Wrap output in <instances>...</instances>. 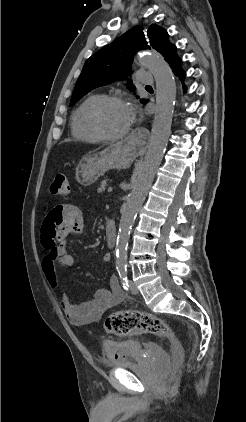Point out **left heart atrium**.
<instances>
[{"instance_id": "obj_1", "label": "left heart atrium", "mask_w": 246, "mask_h": 422, "mask_svg": "<svg viewBox=\"0 0 246 422\" xmlns=\"http://www.w3.org/2000/svg\"><path fill=\"white\" fill-rule=\"evenodd\" d=\"M127 108H128V114H129L130 122H132L133 119H134V117H135L136 110H135V108L133 106H130V105L127 106Z\"/></svg>"}]
</instances>
